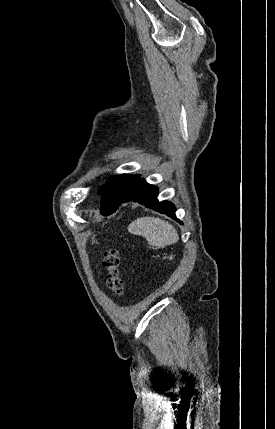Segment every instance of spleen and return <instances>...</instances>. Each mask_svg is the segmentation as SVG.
Returning <instances> with one entry per match:
<instances>
[{
  "instance_id": "spleen-1",
  "label": "spleen",
  "mask_w": 275,
  "mask_h": 429,
  "mask_svg": "<svg viewBox=\"0 0 275 429\" xmlns=\"http://www.w3.org/2000/svg\"><path fill=\"white\" fill-rule=\"evenodd\" d=\"M128 231L143 236L151 246L164 247L174 244L179 236L172 224L158 217H141L128 226Z\"/></svg>"
}]
</instances>
